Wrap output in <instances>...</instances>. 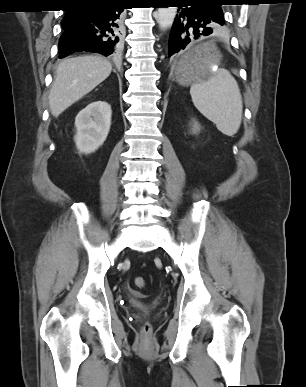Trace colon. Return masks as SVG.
I'll return each mask as SVG.
<instances>
[{"label":"colon","mask_w":306,"mask_h":387,"mask_svg":"<svg viewBox=\"0 0 306 387\" xmlns=\"http://www.w3.org/2000/svg\"><path fill=\"white\" fill-rule=\"evenodd\" d=\"M134 284L137 288L143 289L146 287V280L143 277L138 276V277H135ZM150 330H151V326L148 323L144 324V326L142 327V331L145 334H148Z\"/></svg>","instance_id":"colon-1"}]
</instances>
